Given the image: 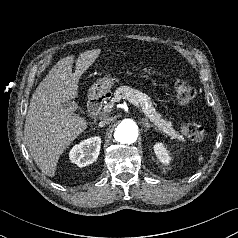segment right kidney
<instances>
[{"label": "right kidney", "instance_id": "right-kidney-1", "mask_svg": "<svg viewBox=\"0 0 238 238\" xmlns=\"http://www.w3.org/2000/svg\"><path fill=\"white\" fill-rule=\"evenodd\" d=\"M100 147L101 138L90 137L75 145L69 153V158L72 163L77 164L79 167H85L97 160Z\"/></svg>", "mask_w": 238, "mask_h": 238}]
</instances>
